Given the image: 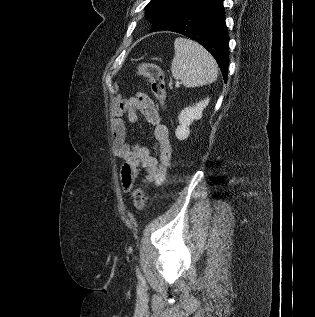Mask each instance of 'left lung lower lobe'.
<instances>
[{
    "label": "left lung lower lobe",
    "instance_id": "0a47b994",
    "mask_svg": "<svg viewBox=\"0 0 315 317\" xmlns=\"http://www.w3.org/2000/svg\"><path fill=\"white\" fill-rule=\"evenodd\" d=\"M167 30L185 35L205 47L217 61L227 81L229 36L223 0H199Z\"/></svg>",
    "mask_w": 315,
    "mask_h": 317
}]
</instances>
